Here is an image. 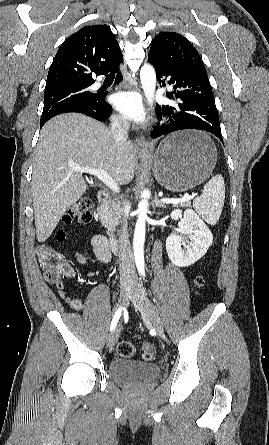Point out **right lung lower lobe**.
Wrapping results in <instances>:
<instances>
[{
	"mask_svg": "<svg viewBox=\"0 0 269 445\" xmlns=\"http://www.w3.org/2000/svg\"><path fill=\"white\" fill-rule=\"evenodd\" d=\"M111 73H116V80L115 83H120L122 81V75L119 72V66ZM106 94H97L98 97L95 102L88 105L87 107H74L69 108L67 110H64L62 113H68V112H76V113H82L87 116H90L92 118H95L98 121H103L110 115L111 112V106L106 102L105 97ZM61 114V113H60ZM43 125H41L42 127Z\"/></svg>",
	"mask_w": 269,
	"mask_h": 445,
	"instance_id": "98d812e1",
	"label": "right lung lower lobe"
}]
</instances>
